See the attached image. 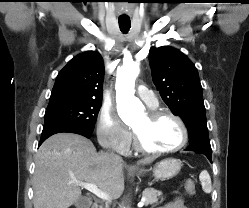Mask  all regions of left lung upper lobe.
<instances>
[{
  "label": "left lung upper lobe",
  "instance_id": "5c2ea615",
  "mask_svg": "<svg viewBox=\"0 0 249 208\" xmlns=\"http://www.w3.org/2000/svg\"><path fill=\"white\" fill-rule=\"evenodd\" d=\"M152 78L163 101L184 121L189 143L210 144L202 86L195 65L181 51L162 46L149 54Z\"/></svg>",
  "mask_w": 249,
  "mask_h": 208
}]
</instances>
